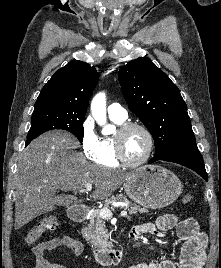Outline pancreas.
<instances>
[{
	"instance_id": "1",
	"label": "pancreas",
	"mask_w": 221,
	"mask_h": 268,
	"mask_svg": "<svg viewBox=\"0 0 221 268\" xmlns=\"http://www.w3.org/2000/svg\"><path fill=\"white\" fill-rule=\"evenodd\" d=\"M116 201H122L128 204L129 207L127 209L129 211V214L148 212L147 209L130 203L129 200L121 194L111 196L110 198L106 199L104 202V208H109ZM82 235L83 238L94 248L107 249L111 246L110 242L108 241L109 235L105 229L104 221L99 215V210H95L90 213L89 224L82 228Z\"/></svg>"
}]
</instances>
